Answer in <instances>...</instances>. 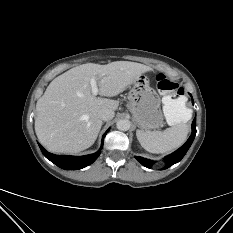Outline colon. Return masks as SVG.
<instances>
[{"label": "colon", "instance_id": "5ec220e1", "mask_svg": "<svg viewBox=\"0 0 233 233\" xmlns=\"http://www.w3.org/2000/svg\"><path fill=\"white\" fill-rule=\"evenodd\" d=\"M156 81L158 89L163 94V110L167 121L173 125L188 123L192 113L183 88L163 74L157 75Z\"/></svg>", "mask_w": 233, "mask_h": 233}]
</instances>
